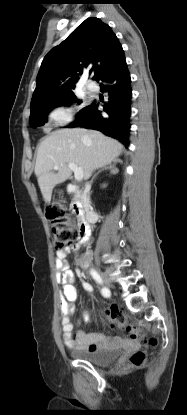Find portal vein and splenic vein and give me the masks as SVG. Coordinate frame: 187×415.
I'll list each match as a JSON object with an SVG mask.
<instances>
[{
  "label": "portal vein and splenic vein",
  "mask_w": 187,
  "mask_h": 415,
  "mask_svg": "<svg viewBox=\"0 0 187 415\" xmlns=\"http://www.w3.org/2000/svg\"><path fill=\"white\" fill-rule=\"evenodd\" d=\"M68 167L74 172V176L77 181H81L83 179L84 173L81 167H78L75 163L72 162L68 163ZM54 169L58 170L59 166L55 165Z\"/></svg>",
  "instance_id": "18ae733b"
}]
</instances>
